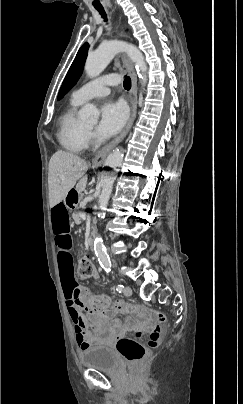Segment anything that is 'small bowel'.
Wrapping results in <instances>:
<instances>
[{
	"label": "small bowel",
	"instance_id": "1",
	"mask_svg": "<svg viewBox=\"0 0 243 404\" xmlns=\"http://www.w3.org/2000/svg\"><path fill=\"white\" fill-rule=\"evenodd\" d=\"M50 220L57 247L61 284L80 350L89 346L113 345L125 334V325L118 321L110 322L106 317L93 316L88 319L78 308L82 289L74 274L68 208L63 200L52 206Z\"/></svg>",
	"mask_w": 243,
	"mask_h": 404
}]
</instances>
